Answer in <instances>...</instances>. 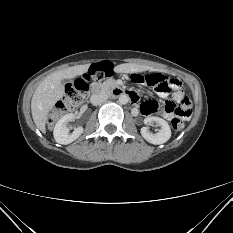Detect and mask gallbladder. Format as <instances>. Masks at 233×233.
I'll use <instances>...</instances> for the list:
<instances>
[{"label":"gallbladder","instance_id":"gallbladder-1","mask_svg":"<svg viewBox=\"0 0 233 233\" xmlns=\"http://www.w3.org/2000/svg\"><path fill=\"white\" fill-rule=\"evenodd\" d=\"M69 82H70L69 79H63V80H62V84H63V85H66V84L69 83Z\"/></svg>","mask_w":233,"mask_h":233}]
</instances>
